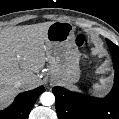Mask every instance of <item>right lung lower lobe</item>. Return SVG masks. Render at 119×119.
Listing matches in <instances>:
<instances>
[{
  "mask_svg": "<svg viewBox=\"0 0 119 119\" xmlns=\"http://www.w3.org/2000/svg\"><path fill=\"white\" fill-rule=\"evenodd\" d=\"M45 91L43 86L20 93L7 109L0 111V119H28L36 99Z\"/></svg>",
  "mask_w": 119,
  "mask_h": 119,
  "instance_id": "right-lung-lower-lobe-1",
  "label": "right lung lower lobe"
}]
</instances>
